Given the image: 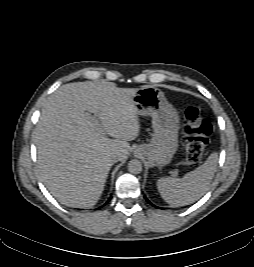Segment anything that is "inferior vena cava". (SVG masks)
<instances>
[{"label":"inferior vena cava","instance_id":"602c4592","mask_svg":"<svg viewBox=\"0 0 254 267\" xmlns=\"http://www.w3.org/2000/svg\"><path fill=\"white\" fill-rule=\"evenodd\" d=\"M112 160H113V162H117L118 161V156H113Z\"/></svg>","mask_w":254,"mask_h":267}]
</instances>
